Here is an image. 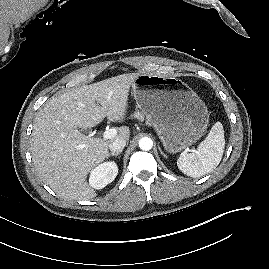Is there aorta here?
<instances>
[{
	"instance_id": "1",
	"label": "aorta",
	"mask_w": 269,
	"mask_h": 269,
	"mask_svg": "<svg viewBox=\"0 0 269 269\" xmlns=\"http://www.w3.org/2000/svg\"><path fill=\"white\" fill-rule=\"evenodd\" d=\"M139 147L144 150L148 151L153 147V141L149 137H143L139 140Z\"/></svg>"
}]
</instances>
